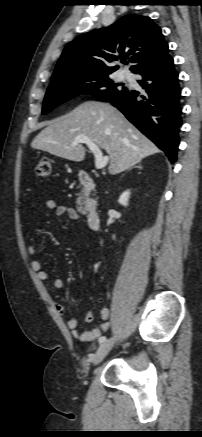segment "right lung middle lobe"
<instances>
[{
  "instance_id": "1",
  "label": "right lung middle lobe",
  "mask_w": 202,
  "mask_h": 437,
  "mask_svg": "<svg viewBox=\"0 0 202 437\" xmlns=\"http://www.w3.org/2000/svg\"><path fill=\"white\" fill-rule=\"evenodd\" d=\"M122 86L123 84H115L110 79L109 74L82 76L52 82L45 95L42 114L49 113L60 104L81 94H93L99 100L107 101L127 90Z\"/></svg>"
}]
</instances>
